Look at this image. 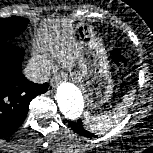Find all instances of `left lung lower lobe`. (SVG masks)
Instances as JSON below:
<instances>
[{
	"instance_id": "left-lung-lower-lobe-1",
	"label": "left lung lower lobe",
	"mask_w": 153,
	"mask_h": 153,
	"mask_svg": "<svg viewBox=\"0 0 153 153\" xmlns=\"http://www.w3.org/2000/svg\"><path fill=\"white\" fill-rule=\"evenodd\" d=\"M71 128L74 130L75 133L87 137V138H92L96 137V135L88 132L87 130L84 129L82 121L79 119L76 122H70Z\"/></svg>"
}]
</instances>
